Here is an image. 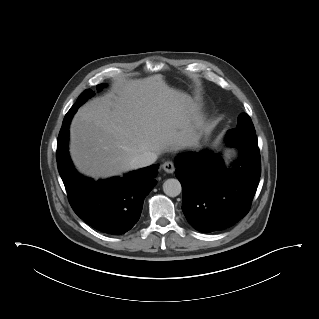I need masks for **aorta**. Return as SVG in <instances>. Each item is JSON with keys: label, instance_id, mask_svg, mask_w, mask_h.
<instances>
[{"label": "aorta", "instance_id": "1", "mask_svg": "<svg viewBox=\"0 0 319 319\" xmlns=\"http://www.w3.org/2000/svg\"><path fill=\"white\" fill-rule=\"evenodd\" d=\"M163 191L169 197H176L182 191L181 183L174 178L167 179L163 184Z\"/></svg>", "mask_w": 319, "mask_h": 319}]
</instances>
